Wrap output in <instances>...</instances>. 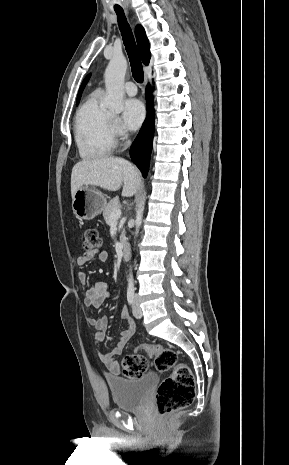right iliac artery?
I'll list each match as a JSON object with an SVG mask.
<instances>
[{
	"mask_svg": "<svg viewBox=\"0 0 289 465\" xmlns=\"http://www.w3.org/2000/svg\"><path fill=\"white\" fill-rule=\"evenodd\" d=\"M127 301L129 305H133L134 303V293L133 292H128L127 293Z\"/></svg>",
	"mask_w": 289,
	"mask_h": 465,
	"instance_id": "82829eb1",
	"label": "right iliac artery"
}]
</instances>
